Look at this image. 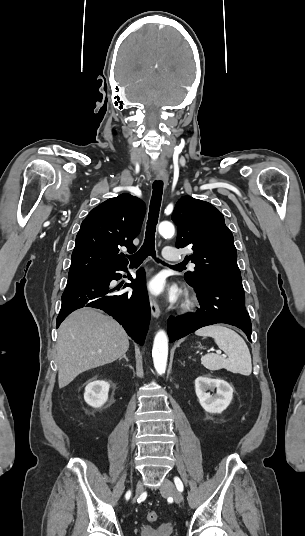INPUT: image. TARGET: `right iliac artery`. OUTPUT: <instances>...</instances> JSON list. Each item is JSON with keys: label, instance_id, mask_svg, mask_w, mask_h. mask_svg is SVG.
<instances>
[{"label": "right iliac artery", "instance_id": "82829eb1", "mask_svg": "<svg viewBox=\"0 0 305 536\" xmlns=\"http://www.w3.org/2000/svg\"><path fill=\"white\" fill-rule=\"evenodd\" d=\"M130 495H131L130 491L127 492V494H126V499H129Z\"/></svg>", "mask_w": 305, "mask_h": 536}]
</instances>
